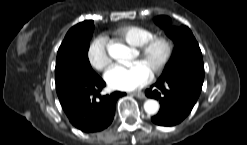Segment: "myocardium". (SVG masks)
I'll list each match as a JSON object with an SVG mask.
<instances>
[{"label":"myocardium","instance_id":"1","mask_svg":"<svg viewBox=\"0 0 247 145\" xmlns=\"http://www.w3.org/2000/svg\"><path fill=\"white\" fill-rule=\"evenodd\" d=\"M157 44L163 46L164 54L158 65L151 70L153 75L160 74L168 66L173 54L172 41L166 36L154 35L153 37L143 42L141 45L136 46L137 53L139 55H145Z\"/></svg>","mask_w":247,"mask_h":145}]
</instances>
